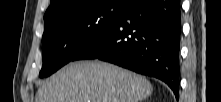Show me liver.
<instances>
[{
  "mask_svg": "<svg viewBox=\"0 0 221 102\" xmlns=\"http://www.w3.org/2000/svg\"><path fill=\"white\" fill-rule=\"evenodd\" d=\"M152 92L143 76L106 62L81 61L43 83L36 102H140Z\"/></svg>",
  "mask_w": 221,
  "mask_h": 102,
  "instance_id": "1",
  "label": "liver"
}]
</instances>
